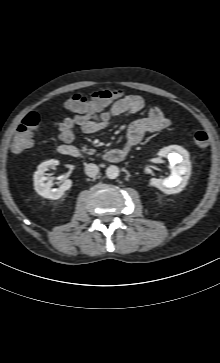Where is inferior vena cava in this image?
<instances>
[{"label": "inferior vena cava", "mask_w": 220, "mask_h": 363, "mask_svg": "<svg viewBox=\"0 0 220 363\" xmlns=\"http://www.w3.org/2000/svg\"><path fill=\"white\" fill-rule=\"evenodd\" d=\"M99 172V168L96 164L89 163L85 166V173L89 177H95Z\"/></svg>", "instance_id": "1"}]
</instances>
